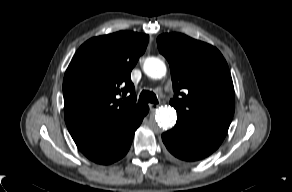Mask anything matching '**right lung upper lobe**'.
I'll use <instances>...</instances> for the list:
<instances>
[{"label": "right lung upper lobe", "instance_id": "obj_1", "mask_svg": "<svg viewBox=\"0 0 292 192\" xmlns=\"http://www.w3.org/2000/svg\"><path fill=\"white\" fill-rule=\"evenodd\" d=\"M148 41L146 34L120 31L94 37L77 50L63 80L69 132L111 127L143 110L130 73ZM118 94L129 96L123 101Z\"/></svg>", "mask_w": 292, "mask_h": 192}]
</instances>
